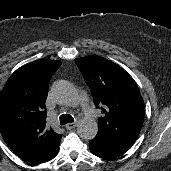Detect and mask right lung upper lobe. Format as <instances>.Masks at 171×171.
I'll return each instance as SVG.
<instances>
[{"label": "right lung upper lobe", "instance_id": "1", "mask_svg": "<svg viewBox=\"0 0 171 171\" xmlns=\"http://www.w3.org/2000/svg\"><path fill=\"white\" fill-rule=\"evenodd\" d=\"M58 60H37L17 69L0 92V132L21 159L39 164L59 149L61 135L45 127V100Z\"/></svg>", "mask_w": 171, "mask_h": 171}]
</instances>
